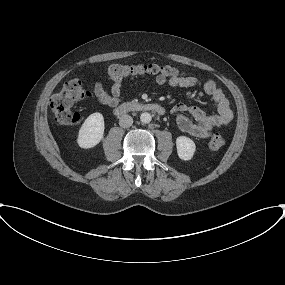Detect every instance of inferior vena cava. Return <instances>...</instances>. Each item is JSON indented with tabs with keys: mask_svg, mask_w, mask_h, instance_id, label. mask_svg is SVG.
Here are the masks:
<instances>
[{
	"mask_svg": "<svg viewBox=\"0 0 285 285\" xmlns=\"http://www.w3.org/2000/svg\"><path fill=\"white\" fill-rule=\"evenodd\" d=\"M133 124V118L130 115H122L119 119V125L123 128H128Z\"/></svg>",
	"mask_w": 285,
	"mask_h": 285,
	"instance_id": "602c4592",
	"label": "inferior vena cava"
}]
</instances>
